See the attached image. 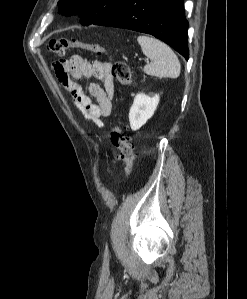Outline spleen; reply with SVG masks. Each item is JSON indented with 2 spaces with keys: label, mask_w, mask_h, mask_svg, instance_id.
I'll return each instance as SVG.
<instances>
[{
  "label": "spleen",
  "mask_w": 247,
  "mask_h": 299,
  "mask_svg": "<svg viewBox=\"0 0 247 299\" xmlns=\"http://www.w3.org/2000/svg\"><path fill=\"white\" fill-rule=\"evenodd\" d=\"M141 50L151 62L144 67V72L155 77L177 78L181 65L173 50L162 41L149 36L137 38Z\"/></svg>",
  "instance_id": "1"
}]
</instances>
